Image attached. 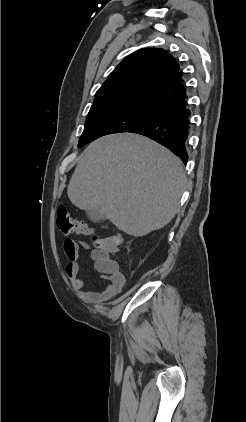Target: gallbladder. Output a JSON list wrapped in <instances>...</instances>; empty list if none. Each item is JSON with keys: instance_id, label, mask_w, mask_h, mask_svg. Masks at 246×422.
I'll use <instances>...</instances> for the list:
<instances>
[{"instance_id": "1", "label": "gallbladder", "mask_w": 246, "mask_h": 422, "mask_svg": "<svg viewBox=\"0 0 246 422\" xmlns=\"http://www.w3.org/2000/svg\"><path fill=\"white\" fill-rule=\"evenodd\" d=\"M87 216L93 222H100L106 219L104 214L100 210H97V209L87 210Z\"/></svg>"}]
</instances>
